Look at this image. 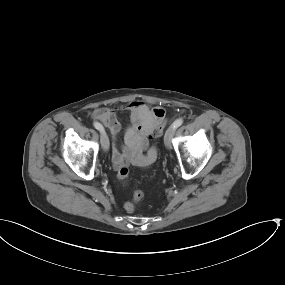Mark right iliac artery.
<instances>
[{
  "mask_svg": "<svg viewBox=\"0 0 285 285\" xmlns=\"http://www.w3.org/2000/svg\"><path fill=\"white\" fill-rule=\"evenodd\" d=\"M93 125L99 131L104 130L103 126L100 123H98V122H95Z\"/></svg>",
  "mask_w": 285,
  "mask_h": 285,
  "instance_id": "right-iliac-artery-1",
  "label": "right iliac artery"
}]
</instances>
